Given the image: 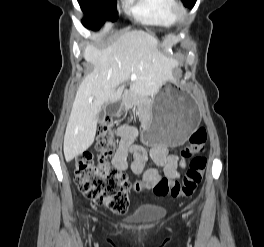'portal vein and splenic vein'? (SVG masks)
Here are the masks:
<instances>
[{
    "mask_svg": "<svg viewBox=\"0 0 264 247\" xmlns=\"http://www.w3.org/2000/svg\"><path fill=\"white\" fill-rule=\"evenodd\" d=\"M136 79V75L135 74H132L131 75V80L134 81Z\"/></svg>",
    "mask_w": 264,
    "mask_h": 247,
    "instance_id": "obj_1",
    "label": "portal vein and splenic vein"
}]
</instances>
